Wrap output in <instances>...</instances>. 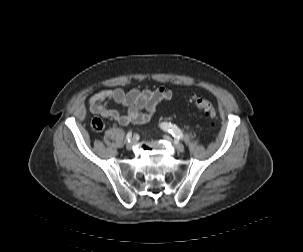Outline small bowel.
Segmentation results:
<instances>
[{
  "label": "small bowel",
  "mask_w": 303,
  "mask_h": 252,
  "mask_svg": "<svg viewBox=\"0 0 303 252\" xmlns=\"http://www.w3.org/2000/svg\"><path fill=\"white\" fill-rule=\"evenodd\" d=\"M172 98L173 92L167 87H159L154 90L133 88L128 92L122 88H114L99 90L90 97L88 104L93 114L126 126L148 122L155 113L158 104ZM109 102L126 106V112L108 108ZM143 110L145 112H142Z\"/></svg>",
  "instance_id": "1"
}]
</instances>
